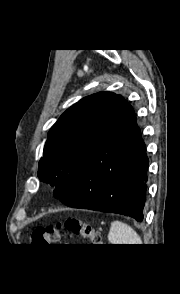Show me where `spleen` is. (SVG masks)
I'll return each instance as SVG.
<instances>
[{
	"instance_id": "obj_1",
	"label": "spleen",
	"mask_w": 180,
	"mask_h": 294,
	"mask_svg": "<svg viewBox=\"0 0 180 294\" xmlns=\"http://www.w3.org/2000/svg\"><path fill=\"white\" fill-rule=\"evenodd\" d=\"M111 244H142L141 237L126 223L113 221L108 233Z\"/></svg>"
}]
</instances>
